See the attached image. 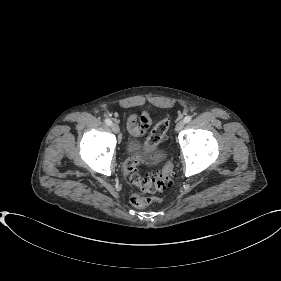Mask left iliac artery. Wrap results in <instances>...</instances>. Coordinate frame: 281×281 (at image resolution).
I'll return each instance as SVG.
<instances>
[{
	"label": "left iliac artery",
	"mask_w": 281,
	"mask_h": 281,
	"mask_svg": "<svg viewBox=\"0 0 281 281\" xmlns=\"http://www.w3.org/2000/svg\"><path fill=\"white\" fill-rule=\"evenodd\" d=\"M191 121V116H186L185 118H184V122L185 123H188V122H190Z\"/></svg>",
	"instance_id": "left-iliac-artery-1"
}]
</instances>
